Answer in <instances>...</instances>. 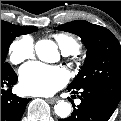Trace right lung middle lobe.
Instances as JSON below:
<instances>
[{"label":"right lung middle lobe","instance_id":"right-lung-middle-lobe-1","mask_svg":"<svg viewBox=\"0 0 121 121\" xmlns=\"http://www.w3.org/2000/svg\"><path fill=\"white\" fill-rule=\"evenodd\" d=\"M37 30V27L17 26L1 20V70L12 69L5 62L9 46L19 35L28 34Z\"/></svg>","mask_w":121,"mask_h":121}]
</instances>
